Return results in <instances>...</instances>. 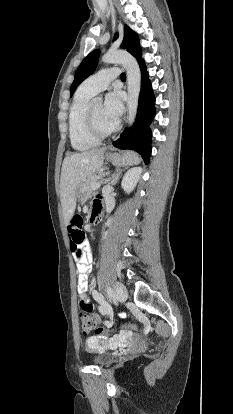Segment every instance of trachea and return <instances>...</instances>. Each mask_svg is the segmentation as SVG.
<instances>
[{"mask_svg": "<svg viewBox=\"0 0 233 414\" xmlns=\"http://www.w3.org/2000/svg\"><path fill=\"white\" fill-rule=\"evenodd\" d=\"M120 78H121V80H122V81H125V80H126V75H125V73H122V74L120 75Z\"/></svg>", "mask_w": 233, "mask_h": 414, "instance_id": "3493384b", "label": "trachea"}]
</instances>
